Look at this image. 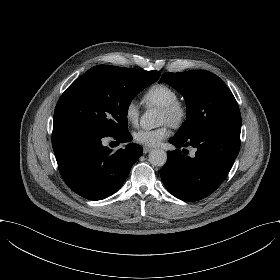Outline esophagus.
I'll list each match as a JSON object with an SVG mask.
<instances>
[{
	"label": "esophagus",
	"mask_w": 280,
	"mask_h": 280,
	"mask_svg": "<svg viewBox=\"0 0 280 280\" xmlns=\"http://www.w3.org/2000/svg\"><path fill=\"white\" fill-rule=\"evenodd\" d=\"M152 150V148H150V147H147V146H144L143 147V153L144 154H147L148 152H150Z\"/></svg>",
	"instance_id": "esophagus-1"
}]
</instances>
